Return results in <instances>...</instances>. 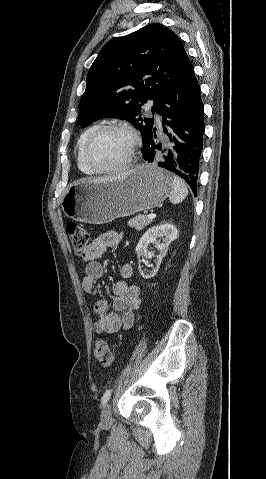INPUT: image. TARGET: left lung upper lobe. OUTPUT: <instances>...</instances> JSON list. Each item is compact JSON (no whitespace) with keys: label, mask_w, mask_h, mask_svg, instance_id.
<instances>
[{"label":"left lung upper lobe","mask_w":266,"mask_h":479,"mask_svg":"<svg viewBox=\"0 0 266 479\" xmlns=\"http://www.w3.org/2000/svg\"><path fill=\"white\" fill-rule=\"evenodd\" d=\"M190 65L180 38L162 24L109 41L88 72L79 124L86 127L103 117L126 119L139 129L144 146L154 121L142 118V104L153 99L152 112H157Z\"/></svg>","instance_id":"obj_1"}]
</instances>
